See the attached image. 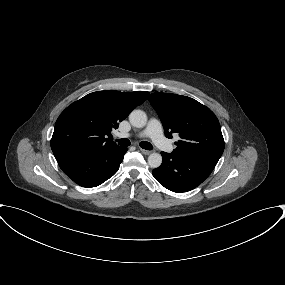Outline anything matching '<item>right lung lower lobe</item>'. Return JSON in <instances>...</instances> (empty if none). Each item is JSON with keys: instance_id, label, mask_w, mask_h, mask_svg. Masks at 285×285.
<instances>
[{"instance_id": "98d812e1", "label": "right lung lower lobe", "mask_w": 285, "mask_h": 285, "mask_svg": "<svg viewBox=\"0 0 285 285\" xmlns=\"http://www.w3.org/2000/svg\"><path fill=\"white\" fill-rule=\"evenodd\" d=\"M127 148L103 150L95 153L68 150L54 154L62 171L82 187H96L118 170Z\"/></svg>"}]
</instances>
